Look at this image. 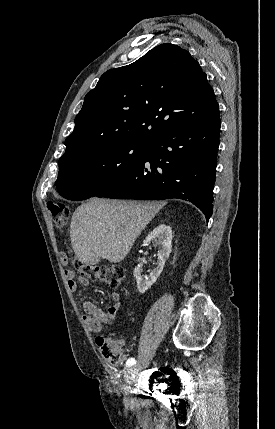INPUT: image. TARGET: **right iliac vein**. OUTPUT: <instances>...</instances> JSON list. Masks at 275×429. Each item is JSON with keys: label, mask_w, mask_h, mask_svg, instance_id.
<instances>
[{"label": "right iliac vein", "mask_w": 275, "mask_h": 429, "mask_svg": "<svg viewBox=\"0 0 275 429\" xmlns=\"http://www.w3.org/2000/svg\"><path fill=\"white\" fill-rule=\"evenodd\" d=\"M140 367H141V364L138 363V364H135L133 367H131L128 370V373H127V382H130V380L135 376V374L138 372V370H139Z\"/></svg>", "instance_id": "1"}]
</instances>
